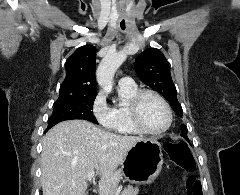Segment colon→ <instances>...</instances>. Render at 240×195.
Here are the masks:
<instances>
[{"label": "colon", "instance_id": "obj_1", "mask_svg": "<svg viewBox=\"0 0 240 195\" xmlns=\"http://www.w3.org/2000/svg\"><path fill=\"white\" fill-rule=\"evenodd\" d=\"M165 149L171 160L179 167L186 170L194 169L195 159L186 141H181L178 144H167ZM184 182L188 183L187 195H203L202 183L199 178L188 175L187 178L183 179Z\"/></svg>", "mask_w": 240, "mask_h": 195}]
</instances>
